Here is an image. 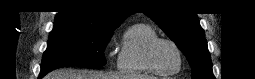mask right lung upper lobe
<instances>
[{"label":"right lung upper lobe","instance_id":"1","mask_svg":"<svg viewBox=\"0 0 255 79\" xmlns=\"http://www.w3.org/2000/svg\"><path fill=\"white\" fill-rule=\"evenodd\" d=\"M129 13L100 0H73L65 10L58 12L54 24L114 30Z\"/></svg>","mask_w":255,"mask_h":79}]
</instances>
